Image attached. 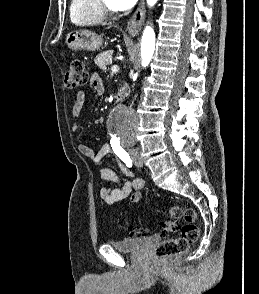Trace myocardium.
Here are the masks:
<instances>
[{"mask_svg":"<svg viewBox=\"0 0 259 294\" xmlns=\"http://www.w3.org/2000/svg\"><path fill=\"white\" fill-rule=\"evenodd\" d=\"M99 12L104 18H111L117 15L118 11L105 3V0H96Z\"/></svg>","mask_w":259,"mask_h":294,"instance_id":"obj_1","label":"myocardium"}]
</instances>
